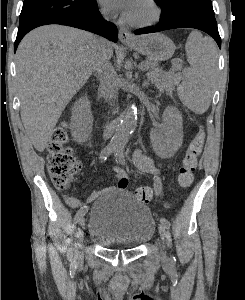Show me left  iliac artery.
<instances>
[{"instance_id": "44dca946", "label": "left iliac artery", "mask_w": 245, "mask_h": 300, "mask_svg": "<svg viewBox=\"0 0 245 300\" xmlns=\"http://www.w3.org/2000/svg\"><path fill=\"white\" fill-rule=\"evenodd\" d=\"M115 156H116V159L119 163H124L123 147H118V148L115 149ZM155 182L156 183L154 184V187H155L156 198L160 199L161 194H162V186H161L160 181L158 179H155ZM160 222L162 224H164L167 228L170 227V222L166 218L161 217ZM170 262L173 265L174 262H175V258L174 257L171 258Z\"/></svg>"}]
</instances>
